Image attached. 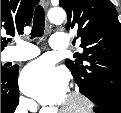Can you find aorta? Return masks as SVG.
I'll return each mask as SVG.
<instances>
[{
    "instance_id": "aorta-1",
    "label": "aorta",
    "mask_w": 121,
    "mask_h": 113,
    "mask_svg": "<svg viewBox=\"0 0 121 113\" xmlns=\"http://www.w3.org/2000/svg\"><path fill=\"white\" fill-rule=\"evenodd\" d=\"M66 18V13L61 8H53L48 12V19L53 24H60Z\"/></svg>"
}]
</instances>
